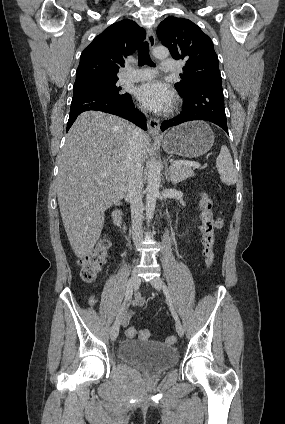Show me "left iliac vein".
Segmentation results:
<instances>
[{
	"label": "left iliac vein",
	"mask_w": 285,
	"mask_h": 424,
	"mask_svg": "<svg viewBox=\"0 0 285 424\" xmlns=\"http://www.w3.org/2000/svg\"><path fill=\"white\" fill-rule=\"evenodd\" d=\"M151 285L157 289L158 291H161L164 287H163V282L161 280L160 277H155L150 281ZM176 331L178 333V335L180 337L183 336L184 334V328L182 326V324L180 323V321H176Z\"/></svg>",
	"instance_id": "left-iliac-vein-1"
}]
</instances>
